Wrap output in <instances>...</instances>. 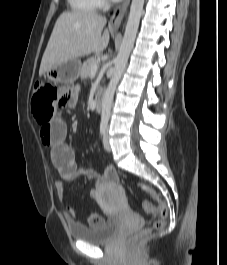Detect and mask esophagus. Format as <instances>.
<instances>
[{
	"label": "esophagus",
	"instance_id": "34e87169",
	"mask_svg": "<svg viewBox=\"0 0 227 265\" xmlns=\"http://www.w3.org/2000/svg\"><path fill=\"white\" fill-rule=\"evenodd\" d=\"M130 0H124L112 13L109 26L112 28H118L125 17Z\"/></svg>",
	"mask_w": 227,
	"mask_h": 265
}]
</instances>
